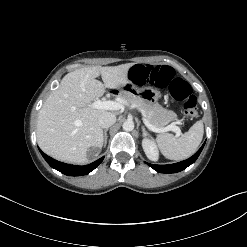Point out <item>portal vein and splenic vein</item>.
Segmentation results:
<instances>
[{
  "label": "portal vein and splenic vein",
  "mask_w": 247,
  "mask_h": 247,
  "mask_svg": "<svg viewBox=\"0 0 247 247\" xmlns=\"http://www.w3.org/2000/svg\"><path fill=\"white\" fill-rule=\"evenodd\" d=\"M92 107L96 109H104V110H120L123 108V104L115 101H102V100H96L95 102L92 103ZM143 123L147 128H149L151 131L156 132V133H163L167 131H173L176 133V137H179L182 133L181 130L178 126L175 124H170L166 127H156L152 125L145 117H143Z\"/></svg>",
  "instance_id": "portal-vein-and-splenic-vein-1"
}]
</instances>
